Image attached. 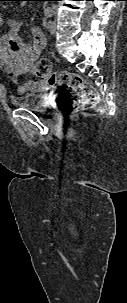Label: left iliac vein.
<instances>
[{"instance_id": "left-iliac-vein-1", "label": "left iliac vein", "mask_w": 127, "mask_h": 303, "mask_svg": "<svg viewBox=\"0 0 127 303\" xmlns=\"http://www.w3.org/2000/svg\"><path fill=\"white\" fill-rule=\"evenodd\" d=\"M56 30H57V23H56V21L54 20V21H52V22L50 23L49 31H50L51 34H54V33H56Z\"/></svg>"}]
</instances>
